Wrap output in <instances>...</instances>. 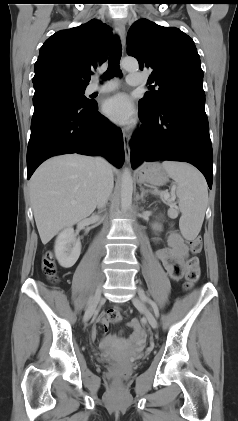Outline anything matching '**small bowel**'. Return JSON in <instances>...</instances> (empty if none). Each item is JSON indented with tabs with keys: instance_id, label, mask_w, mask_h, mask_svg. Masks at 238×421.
I'll return each mask as SVG.
<instances>
[{
	"instance_id": "1",
	"label": "small bowel",
	"mask_w": 238,
	"mask_h": 421,
	"mask_svg": "<svg viewBox=\"0 0 238 421\" xmlns=\"http://www.w3.org/2000/svg\"><path fill=\"white\" fill-rule=\"evenodd\" d=\"M156 232L161 230V224L156 222L154 224ZM157 258L160 260L168 274L173 279H179L183 274V266L185 258L188 255V247L185 244L182 236L176 231L172 230L167 239V246L159 248L156 251ZM112 316L115 318L112 319ZM121 320L120 311L114 307L107 312H102L97 316L96 325H100L104 330H107L110 323H117ZM129 326L133 329L131 341L140 345L143 341L142 328L137 320H132ZM97 326L92 330V336H96ZM116 341L115 337H106L103 340V346H108Z\"/></svg>"
}]
</instances>
